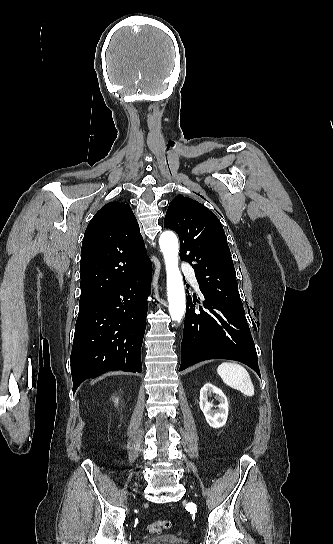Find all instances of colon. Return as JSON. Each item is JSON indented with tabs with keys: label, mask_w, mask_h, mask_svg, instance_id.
Returning a JSON list of instances; mask_svg holds the SVG:
<instances>
[{
	"label": "colon",
	"mask_w": 333,
	"mask_h": 544,
	"mask_svg": "<svg viewBox=\"0 0 333 544\" xmlns=\"http://www.w3.org/2000/svg\"><path fill=\"white\" fill-rule=\"evenodd\" d=\"M171 526V522L169 520H158L149 523L146 526L147 532L151 534H157L160 533L164 529H168Z\"/></svg>",
	"instance_id": "5ec220e1"
}]
</instances>
